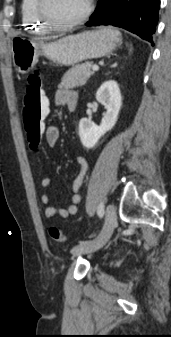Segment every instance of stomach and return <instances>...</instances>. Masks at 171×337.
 <instances>
[{
  "label": "stomach",
  "instance_id": "1",
  "mask_svg": "<svg viewBox=\"0 0 171 337\" xmlns=\"http://www.w3.org/2000/svg\"><path fill=\"white\" fill-rule=\"evenodd\" d=\"M121 41L120 32L111 27L69 35L50 43L17 37L12 40L13 63L21 74L28 73L40 56L62 65H74L110 54Z\"/></svg>",
  "mask_w": 171,
  "mask_h": 337
}]
</instances>
